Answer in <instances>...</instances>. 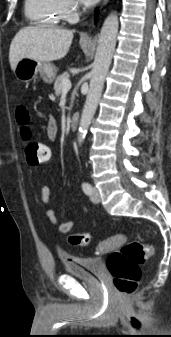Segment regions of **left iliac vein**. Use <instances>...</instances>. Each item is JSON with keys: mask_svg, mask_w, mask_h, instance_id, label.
I'll return each instance as SVG.
<instances>
[{"mask_svg": "<svg viewBox=\"0 0 171 337\" xmlns=\"http://www.w3.org/2000/svg\"><path fill=\"white\" fill-rule=\"evenodd\" d=\"M91 201L94 203H99L101 198H100V193L98 188H94L92 191V195L90 197Z\"/></svg>", "mask_w": 171, "mask_h": 337, "instance_id": "4c4485c4", "label": "left iliac vein"}]
</instances>
